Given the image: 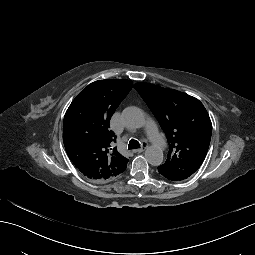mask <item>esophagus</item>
<instances>
[{"instance_id": "esophagus-1", "label": "esophagus", "mask_w": 255, "mask_h": 255, "mask_svg": "<svg viewBox=\"0 0 255 255\" xmlns=\"http://www.w3.org/2000/svg\"><path fill=\"white\" fill-rule=\"evenodd\" d=\"M144 150H145V148H139V149L135 150V152L141 153V152H143Z\"/></svg>"}]
</instances>
